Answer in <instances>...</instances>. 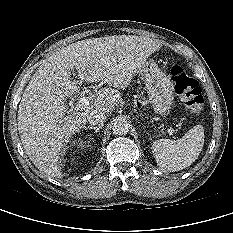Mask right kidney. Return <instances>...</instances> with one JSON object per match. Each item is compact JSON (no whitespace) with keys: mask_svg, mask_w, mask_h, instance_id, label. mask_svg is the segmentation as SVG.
Listing matches in <instances>:
<instances>
[{"mask_svg":"<svg viewBox=\"0 0 233 233\" xmlns=\"http://www.w3.org/2000/svg\"><path fill=\"white\" fill-rule=\"evenodd\" d=\"M74 146L76 147H79V148H83L85 145H84V142L83 141H76L74 142Z\"/></svg>","mask_w":233,"mask_h":233,"instance_id":"right-kidney-1","label":"right kidney"}]
</instances>
